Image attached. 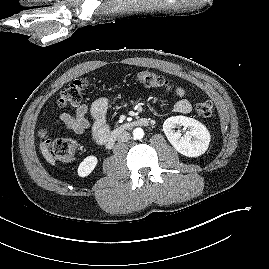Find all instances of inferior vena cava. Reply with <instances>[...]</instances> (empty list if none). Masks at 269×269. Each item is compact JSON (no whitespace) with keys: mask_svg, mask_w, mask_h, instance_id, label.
Returning a JSON list of instances; mask_svg holds the SVG:
<instances>
[{"mask_svg":"<svg viewBox=\"0 0 269 269\" xmlns=\"http://www.w3.org/2000/svg\"><path fill=\"white\" fill-rule=\"evenodd\" d=\"M130 133L129 132H123L118 136V141L120 143L127 142L130 139Z\"/></svg>","mask_w":269,"mask_h":269,"instance_id":"obj_1","label":"inferior vena cava"}]
</instances>
